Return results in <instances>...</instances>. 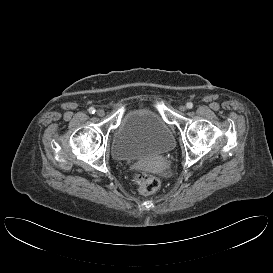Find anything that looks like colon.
Wrapping results in <instances>:
<instances>
[{"mask_svg":"<svg viewBox=\"0 0 273 273\" xmlns=\"http://www.w3.org/2000/svg\"><path fill=\"white\" fill-rule=\"evenodd\" d=\"M133 180L138 185L139 192L143 195L155 193L161 184L160 179L142 170H137L133 174Z\"/></svg>","mask_w":273,"mask_h":273,"instance_id":"colon-1","label":"colon"}]
</instances>
